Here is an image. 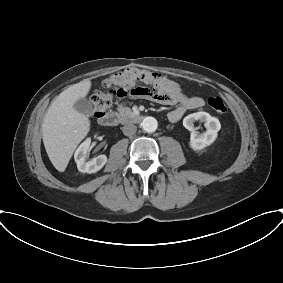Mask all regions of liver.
Returning <instances> with one entry per match:
<instances>
[{
	"instance_id": "6515ba94",
	"label": "liver",
	"mask_w": 283,
	"mask_h": 283,
	"mask_svg": "<svg viewBox=\"0 0 283 283\" xmlns=\"http://www.w3.org/2000/svg\"><path fill=\"white\" fill-rule=\"evenodd\" d=\"M91 81L85 79L61 92L49 107L42 124V138L53 166L64 172L78 144L90 130V120L74 109L89 93Z\"/></svg>"
}]
</instances>
